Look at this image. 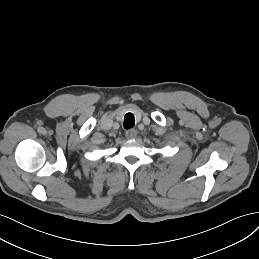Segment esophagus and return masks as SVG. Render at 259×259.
Wrapping results in <instances>:
<instances>
[{
    "label": "esophagus",
    "mask_w": 259,
    "mask_h": 259,
    "mask_svg": "<svg viewBox=\"0 0 259 259\" xmlns=\"http://www.w3.org/2000/svg\"><path fill=\"white\" fill-rule=\"evenodd\" d=\"M137 136V132L134 129L127 130L126 138L127 139H134Z\"/></svg>",
    "instance_id": "esophagus-1"
}]
</instances>
